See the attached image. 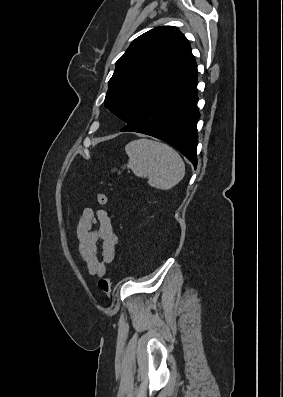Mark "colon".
Here are the masks:
<instances>
[{
    "instance_id": "colon-1",
    "label": "colon",
    "mask_w": 283,
    "mask_h": 397,
    "mask_svg": "<svg viewBox=\"0 0 283 397\" xmlns=\"http://www.w3.org/2000/svg\"><path fill=\"white\" fill-rule=\"evenodd\" d=\"M107 201H108V198H107V195L105 193H98L97 194V202L100 205L107 204ZM98 287L103 293H105L106 295H110L111 291H112L110 278L109 277H102L98 281Z\"/></svg>"
}]
</instances>
